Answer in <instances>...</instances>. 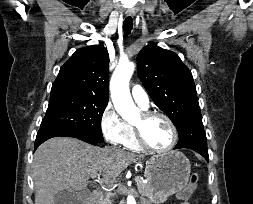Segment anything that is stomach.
<instances>
[{"mask_svg": "<svg viewBox=\"0 0 253 204\" xmlns=\"http://www.w3.org/2000/svg\"><path fill=\"white\" fill-rule=\"evenodd\" d=\"M190 172V161L179 151L152 156L145 167V177L152 191L145 196L153 204L164 203L169 196L186 187Z\"/></svg>", "mask_w": 253, "mask_h": 204, "instance_id": "0dacf381", "label": "stomach"}]
</instances>
